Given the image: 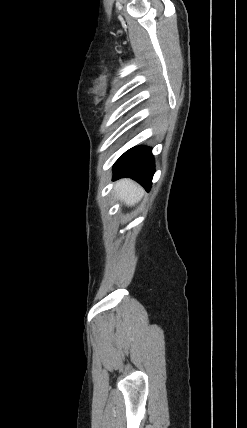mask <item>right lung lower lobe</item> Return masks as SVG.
I'll return each instance as SVG.
<instances>
[{"instance_id":"98d812e1","label":"right lung lower lobe","mask_w":247,"mask_h":428,"mask_svg":"<svg viewBox=\"0 0 247 428\" xmlns=\"http://www.w3.org/2000/svg\"><path fill=\"white\" fill-rule=\"evenodd\" d=\"M151 148L138 146L125 152L114 164L113 180L130 177L150 190L155 171Z\"/></svg>"}]
</instances>
